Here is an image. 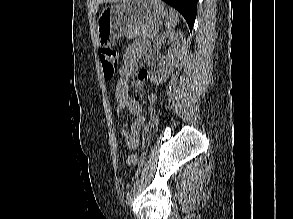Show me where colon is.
Returning <instances> with one entry per match:
<instances>
[{
    "instance_id": "obj_1",
    "label": "colon",
    "mask_w": 293,
    "mask_h": 219,
    "mask_svg": "<svg viewBox=\"0 0 293 219\" xmlns=\"http://www.w3.org/2000/svg\"><path fill=\"white\" fill-rule=\"evenodd\" d=\"M99 58L102 64L105 79H113L119 62L117 53L110 48H101L99 50ZM136 163L137 157L135 155H131L127 158L128 165L133 166L136 165Z\"/></svg>"
}]
</instances>
